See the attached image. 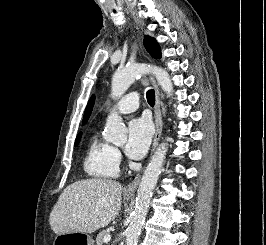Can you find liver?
<instances>
[{"instance_id":"6515ba94","label":"liver","mask_w":266,"mask_h":245,"mask_svg":"<svg viewBox=\"0 0 266 245\" xmlns=\"http://www.w3.org/2000/svg\"><path fill=\"white\" fill-rule=\"evenodd\" d=\"M123 189L110 179H85L68 185L54 205L49 223L55 235L94 233L121 211Z\"/></svg>"}]
</instances>
